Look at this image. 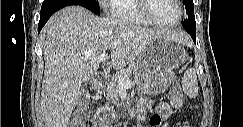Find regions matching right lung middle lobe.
<instances>
[{
    "instance_id": "1",
    "label": "right lung middle lobe",
    "mask_w": 243,
    "mask_h": 127,
    "mask_svg": "<svg viewBox=\"0 0 243 127\" xmlns=\"http://www.w3.org/2000/svg\"><path fill=\"white\" fill-rule=\"evenodd\" d=\"M64 2L74 3L83 6L94 13H99V5L96 0H44L41 8H46Z\"/></svg>"
}]
</instances>
